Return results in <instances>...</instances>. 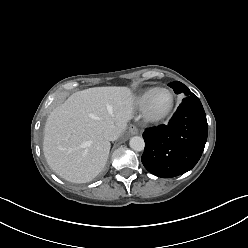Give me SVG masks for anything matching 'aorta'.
<instances>
[{
	"mask_svg": "<svg viewBox=\"0 0 248 248\" xmlns=\"http://www.w3.org/2000/svg\"><path fill=\"white\" fill-rule=\"evenodd\" d=\"M130 147L134 150V151H142L144 150L145 147V142L143 140L142 137L140 136H134L130 139Z\"/></svg>",
	"mask_w": 248,
	"mask_h": 248,
	"instance_id": "1",
	"label": "aorta"
}]
</instances>
